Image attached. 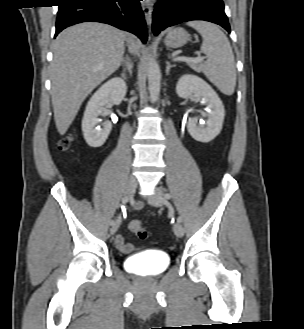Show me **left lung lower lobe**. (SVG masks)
<instances>
[{
    "label": "left lung lower lobe",
    "instance_id": "left-lung-lower-lobe-1",
    "mask_svg": "<svg viewBox=\"0 0 304 329\" xmlns=\"http://www.w3.org/2000/svg\"><path fill=\"white\" fill-rule=\"evenodd\" d=\"M205 20L216 23L231 32L222 0H159L153 12V32L181 22Z\"/></svg>",
    "mask_w": 304,
    "mask_h": 329
}]
</instances>
